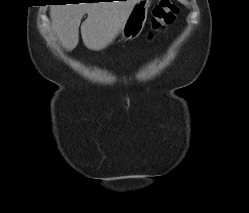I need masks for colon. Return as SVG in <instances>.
Returning a JSON list of instances; mask_svg holds the SVG:
<instances>
[{"label":"colon","mask_w":249,"mask_h":213,"mask_svg":"<svg viewBox=\"0 0 249 213\" xmlns=\"http://www.w3.org/2000/svg\"><path fill=\"white\" fill-rule=\"evenodd\" d=\"M179 9L171 0H160L152 10L151 26L153 31L149 33L148 38L153 39L157 33L163 32L169 26Z\"/></svg>","instance_id":"obj_1"}]
</instances>
